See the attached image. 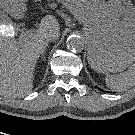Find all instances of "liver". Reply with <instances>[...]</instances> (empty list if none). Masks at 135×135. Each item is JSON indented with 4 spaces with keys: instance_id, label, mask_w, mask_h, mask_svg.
Here are the masks:
<instances>
[{
    "instance_id": "1",
    "label": "liver",
    "mask_w": 135,
    "mask_h": 135,
    "mask_svg": "<svg viewBox=\"0 0 135 135\" xmlns=\"http://www.w3.org/2000/svg\"><path fill=\"white\" fill-rule=\"evenodd\" d=\"M18 18L20 12L13 13ZM60 36V25L51 15L42 18L39 28L30 36L19 37L0 34V95L4 97H24L33 88V73L40 54L47 43L45 36Z\"/></svg>"
}]
</instances>
